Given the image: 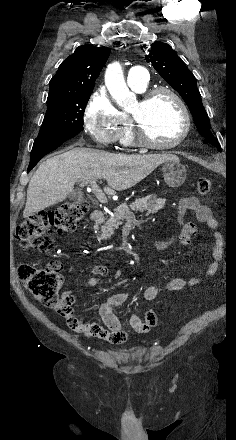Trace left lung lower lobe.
Here are the masks:
<instances>
[{
  "mask_svg": "<svg viewBox=\"0 0 236 440\" xmlns=\"http://www.w3.org/2000/svg\"><path fill=\"white\" fill-rule=\"evenodd\" d=\"M204 143L212 144V145L215 146L219 151H221L220 144H219L218 140H217L215 137L205 138Z\"/></svg>",
  "mask_w": 236,
  "mask_h": 440,
  "instance_id": "0a47b994",
  "label": "left lung lower lobe"
}]
</instances>
